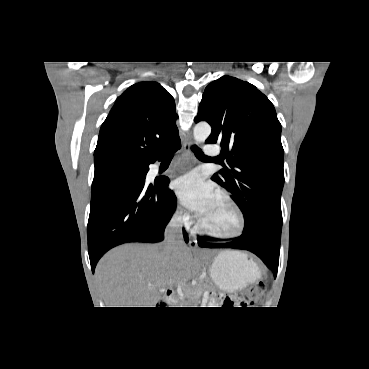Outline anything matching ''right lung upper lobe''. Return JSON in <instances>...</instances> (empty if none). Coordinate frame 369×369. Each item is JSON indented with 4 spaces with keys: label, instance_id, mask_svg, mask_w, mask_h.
Masks as SVG:
<instances>
[{
    "label": "right lung upper lobe",
    "instance_id": "right-lung-upper-lobe-1",
    "mask_svg": "<svg viewBox=\"0 0 369 369\" xmlns=\"http://www.w3.org/2000/svg\"><path fill=\"white\" fill-rule=\"evenodd\" d=\"M173 97L156 82H139L118 97L101 126L94 163H149L180 142Z\"/></svg>",
    "mask_w": 369,
    "mask_h": 369
}]
</instances>
